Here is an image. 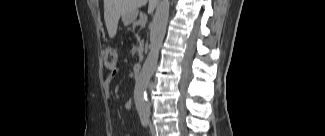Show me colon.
<instances>
[{
	"instance_id": "1",
	"label": "colon",
	"mask_w": 325,
	"mask_h": 136,
	"mask_svg": "<svg viewBox=\"0 0 325 136\" xmlns=\"http://www.w3.org/2000/svg\"><path fill=\"white\" fill-rule=\"evenodd\" d=\"M104 65L108 70L114 71L117 67L118 53L115 47L106 45L103 49Z\"/></svg>"
}]
</instances>
